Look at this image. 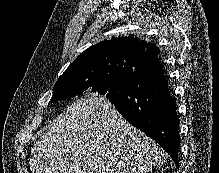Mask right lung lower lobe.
Listing matches in <instances>:
<instances>
[{"label":"right lung lower lobe","mask_w":219,"mask_h":173,"mask_svg":"<svg viewBox=\"0 0 219 173\" xmlns=\"http://www.w3.org/2000/svg\"><path fill=\"white\" fill-rule=\"evenodd\" d=\"M104 97L129 123L154 139L179 168L180 120L159 60L140 64Z\"/></svg>","instance_id":"right-lung-lower-lobe-1"}]
</instances>
